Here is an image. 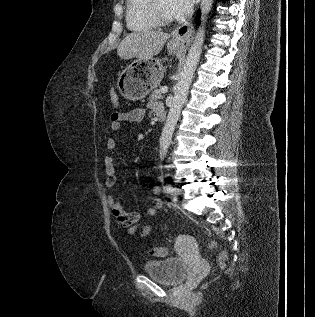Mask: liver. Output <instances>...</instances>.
<instances>
[{
    "instance_id": "liver-1",
    "label": "liver",
    "mask_w": 315,
    "mask_h": 317,
    "mask_svg": "<svg viewBox=\"0 0 315 317\" xmlns=\"http://www.w3.org/2000/svg\"><path fill=\"white\" fill-rule=\"evenodd\" d=\"M170 35L161 31H140L127 35L117 47V55L124 60L153 59L162 50Z\"/></svg>"
}]
</instances>
